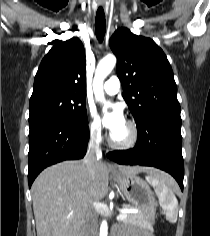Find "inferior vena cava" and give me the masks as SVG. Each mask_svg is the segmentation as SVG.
Masks as SVG:
<instances>
[{
	"instance_id": "602c4592",
	"label": "inferior vena cava",
	"mask_w": 210,
	"mask_h": 236,
	"mask_svg": "<svg viewBox=\"0 0 210 236\" xmlns=\"http://www.w3.org/2000/svg\"><path fill=\"white\" fill-rule=\"evenodd\" d=\"M100 155L99 142L96 139H92L88 145V150L83 160L92 175H94L95 165L98 162ZM94 206L95 203H93L92 208L87 213L86 236H97V215L94 211Z\"/></svg>"
}]
</instances>
